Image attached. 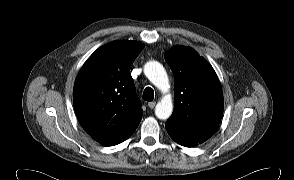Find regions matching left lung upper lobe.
Masks as SVG:
<instances>
[{
    "instance_id": "obj_1",
    "label": "left lung upper lobe",
    "mask_w": 294,
    "mask_h": 180,
    "mask_svg": "<svg viewBox=\"0 0 294 180\" xmlns=\"http://www.w3.org/2000/svg\"><path fill=\"white\" fill-rule=\"evenodd\" d=\"M165 60L175 83V108L166 123L186 132L214 133L224 107L214 69L196 51L184 46H173Z\"/></svg>"
}]
</instances>
